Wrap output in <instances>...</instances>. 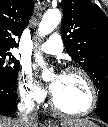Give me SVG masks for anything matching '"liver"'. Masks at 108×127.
Returning a JSON list of instances; mask_svg holds the SVG:
<instances>
[{
	"label": "liver",
	"mask_w": 108,
	"mask_h": 127,
	"mask_svg": "<svg viewBox=\"0 0 108 127\" xmlns=\"http://www.w3.org/2000/svg\"><path fill=\"white\" fill-rule=\"evenodd\" d=\"M30 127H38L37 121L30 124ZM62 126L66 125H79V126H94L95 124L87 119H69L61 122ZM0 127H22L19 118H9L5 116L0 117Z\"/></svg>",
	"instance_id": "6515ba94"
}]
</instances>
